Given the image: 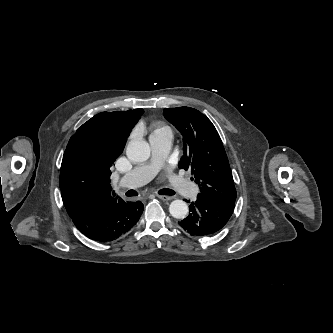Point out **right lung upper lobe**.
Masks as SVG:
<instances>
[{"instance_id": "cb5924a9", "label": "right lung upper lobe", "mask_w": 333, "mask_h": 333, "mask_svg": "<svg viewBox=\"0 0 333 333\" xmlns=\"http://www.w3.org/2000/svg\"><path fill=\"white\" fill-rule=\"evenodd\" d=\"M143 109L102 112L79 127L64 152L60 189L64 206L73 219L87 216L123 200L110 187V167L123 152L131 129ZM100 121L108 124L106 137H93Z\"/></svg>"}]
</instances>
